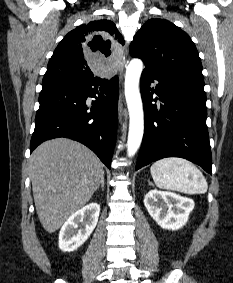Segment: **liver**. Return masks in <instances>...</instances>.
<instances>
[{"mask_svg": "<svg viewBox=\"0 0 233 283\" xmlns=\"http://www.w3.org/2000/svg\"><path fill=\"white\" fill-rule=\"evenodd\" d=\"M30 172L38 218L49 233L91 199L104 175L99 158L83 144L67 138L38 146L30 157Z\"/></svg>", "mask_w": 233, "mask_h": 283, "instance_id": "obj_1", "label": "liver"}]
</instances>
